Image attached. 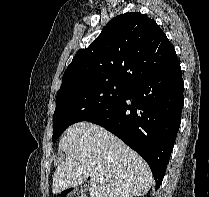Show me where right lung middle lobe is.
I'll return each mask as SVG.
<instances>
[{
    "label": "right lung middle lobe",
    "instance_id": "1",
    "mask_svg": "<svg viewBox=\"0 0 209 197\" xmlns=\"http://www.w3.org/2000/svg\"><path fill=\"white\" fill-rule=\"evenodd\" d=\"M131 88L129 84L115 80L82 82L61 88L53 115L52 141H56L70 125L85 121L122 100Z\"/></svg>",
    "mask_w": 209,
    "mask_h": 197
}]
</instances>
